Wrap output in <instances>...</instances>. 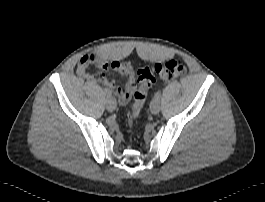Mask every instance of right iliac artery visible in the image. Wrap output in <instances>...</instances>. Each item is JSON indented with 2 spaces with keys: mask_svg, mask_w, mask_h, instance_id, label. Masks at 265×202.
<instances>
[{
  "mask_svg": "<svg viewBox=\"0 0 265 202\" xmlns=\"http://www.w3.org/2000/svg\"><path fill=\"white\" fill-rule=\"evenodd\" d=\"M105 95L108 96V97L110 96V94H109V92L107 90H105Z\"/></svg>",
  "mask_w": 265,
  "mask_h": 202,
  "instance_id": "obj_1",
  "label": "right iliac artery"
}]
</instances>
